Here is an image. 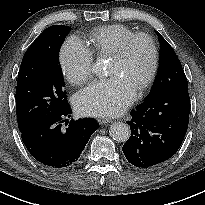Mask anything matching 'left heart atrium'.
I'll return each instance as SVG.
<instances>
[{
    "label": "left heart atrium",
    "instance_id": "obj_1",
    "mask_svg": "<svg viewBox=\"0 0 205 205\" xmlns=\"http://www.w3.org/2000/svg\"><path fill=\"white\" fill-rule=\"evenodd\" d=\"M136 97V88L125 78L112 76L95 81L75 98L76 111L84 116L120 114Z\"/></svg>",
    "mask_w": 205,
    "mask_h": 205
}]
</instances>
